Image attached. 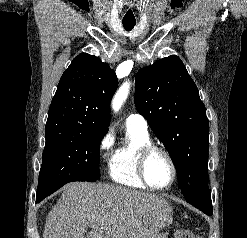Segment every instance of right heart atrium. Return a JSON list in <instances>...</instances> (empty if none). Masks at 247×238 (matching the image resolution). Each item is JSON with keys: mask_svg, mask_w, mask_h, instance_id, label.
Returning a JSON list of instances; mask_svg holds the SVG:
<instances>
[{"mask_svg": "<svg viewBox=\"0 0 247 238\" xmlns=\"http://www.w3.org/2000/svg\"><path fill=\"white\" fill-rule=\"evenodd\" d=\"M113 143V136L110 131H106L100 138L98 149L100 156H103L111 148Z\"/></svg>", "mask_w": 247, "mask_h": 238, "instance_id": "obj_1", "label": "right heart atrium"}]
</instances>
